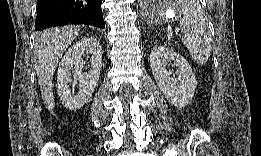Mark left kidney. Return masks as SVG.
<instances>
[{"mask_svg":"<svg viewBox=\"0 0 261 156\" xmlns=\"http://www.w3.org/2000/svg\"><path fill=\"white\" fill-rule=\"evenodd\" d=\"M171 61L177 66L176 71L166 69ZM150 67L157 85L169 103L178 108L190 103L197 81L183 56L163 46L155 47L150 54Z\"/></svg>","mask_w":261,"mask_h":156,"instance_id":"5707ae66","label":"left kidney"}]
</instances>
